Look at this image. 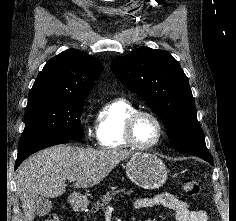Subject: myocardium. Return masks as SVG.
Segmentation results:
<instances>
[{"instance_id":"f54148a6","label":"myocardium","mask_w":236,"mask_h":221,"mask_svg":"<svg viewBox=\"0 0 236 221\" xmlns=\"http://www.w3.org/2000/svg\"><path fill=\"white\" fill-rule=\"evenodd\" d=\"M142 116H148L151 119H153L155 123L157 124L158 131H159L157 139L153 143L148 144V145H142L138 143L134 135L135 124L137 120ZM124 135H125V139L127 143L130 146L139 150H149L158 146L161 143L165 135V129H164V125L161 119L154 112L149 111V110H136L133 113H131L126 120Z\"/></svg>"}]
</instances>
